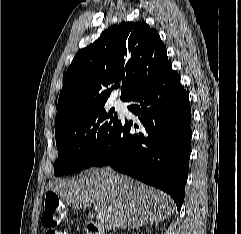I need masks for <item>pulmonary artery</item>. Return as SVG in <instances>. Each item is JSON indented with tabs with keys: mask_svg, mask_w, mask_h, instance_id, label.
<instances>
[{
	"mask_svg": "<svg viewBox=\"0 0 241 234\" xmlns=\"http://www.w3.org/2000/svg\"><path fill=\"white\" fill-rule=\"evenodd\" d=\"M116 106H117L118 108H121V103H120L119 101H117V102H116Z\"/></svg>",
	"mask_w": 241,
	"mask_h": 234,
	"instance_id": "pulmonary-artery-1",
	"label": "pulmonary artery"
}]
</instances>
